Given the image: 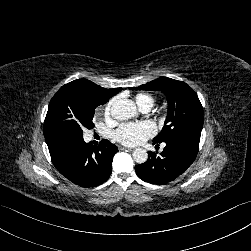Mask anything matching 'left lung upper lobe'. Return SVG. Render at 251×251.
Returning <instances> with one entry per match:
<instances>
[{"instance_id":"5c2ea615","label":"left lung upper lobe","mask_w":251,"mask_h":251,"mask_svg":"<svg viewBox=\"0 0 251 251\" xmlns=\"http://www.w3.org/2000/svg\"><path fill=\"white\" fill-rule=\"evenodd\" d=\"M134 90L162 91L168 101V114L155 143L166 142L175 137H189L200 141L203 127V108L195 91L185 82L160 77Z\"/></svg>"}]
</instances>
